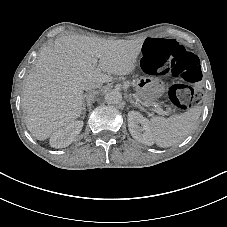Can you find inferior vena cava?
Segmentation results:
<instances>
[{
	"label": "inferior vena cava",
	"instance_id": "inferior-vena-cava-1",
	"mask_svg": "<svg viewBox=\"0 0 227 227\" xmlns=\"http://www.w3.org/2000/svg\"><path fill=\"white\" fill-rule=\"evenodd\" d=\"M101 84L97 83V84H93V83H87L86 84V89H91V88H94V87H100Z\"/></svg>",
	"mask_w": 227,
	"mask_h": 227
}]
</instances>
